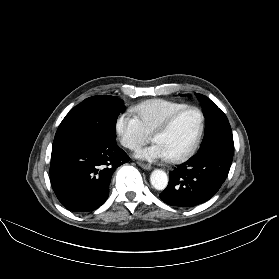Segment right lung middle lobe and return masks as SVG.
<instances>
[{
    "instance_id": "1",
    "label": "right lung middle lobe",
    "mask_w": 279,
    "mask_h": 279,
    "mask_svg": "<svg viewBox=\"0 0 279 279\" xmlns=\"http://www.w3.org/2000/svg\"><path fill=\"white\" fill-rule=\"evenodd\" d=\"M122 110L118 98L98 95L85 99L62 120L52 150L77 148L102 138H115Z\"/></svg>"
}]
</instances>
